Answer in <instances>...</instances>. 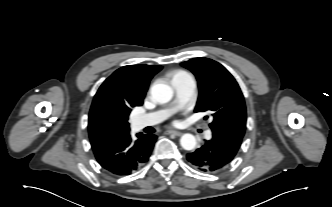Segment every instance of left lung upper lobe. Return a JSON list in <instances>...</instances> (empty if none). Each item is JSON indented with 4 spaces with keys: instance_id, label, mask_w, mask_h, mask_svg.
<instances>
[{
    "instance_id": "left-lung-upper-lobe-1",
    "label": "left lung upper lobe",
    "mask_w": 332,
    "mask_h": 207,
    "mask_svg": "<svg viewBox=\"0 0 332 207\" xmlns=\"http://www.w3.org/2000/svg\"><path fill=\"white\" fill-rule=\"evenodd\" d=\"M198 81L199 97L195 112L210 111L212 131L243 137L246 129V107L243 94L234 77L218 62L194 58L181 63Z\"/></svg>"
}]
</instances>
